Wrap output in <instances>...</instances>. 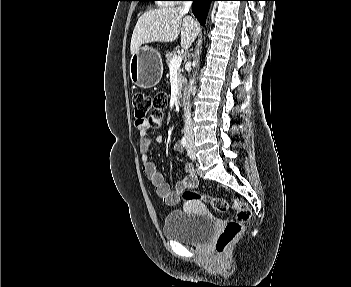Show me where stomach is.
I'll use <instances>...</instances> for the list:
<instances>
[{
  "label": "stomach",
  "mask_w": 351,
  "mask_h": 287,
  "mask_svg": "<svg viewBox=\"0 0 351 287\" xmlns=\"http://www.w3.org/2000/svg\"><path fill=\"white\" fill-rule=\"evenodd\" d=\"M163 62L160 53L149 47H141L130 59V78L138 87L156 86L162 78Z\"/></svg>",
  "instance_id": "stomach-1"
}]
</instances>
